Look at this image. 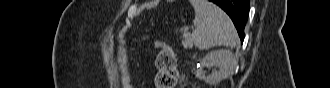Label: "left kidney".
<instances>
[{
  "label": "left kidney",
  "mask_w": 330,
  "mask_h": 88,
  "mask_svg": "<svg viewBox=\"0 0 330 88\" xmlns=\"http://www.w3.org/2000/svg\"><path fill=\"white\" fill-rule=\"evenodd\" d=\"M235 66L236 60L231 51L226 49L211 51L204 57L201 63V68L215 67L218 68V70L213 71L208 76L203 75L199 70L197 71V77L204 79L205 82L209 84L216 85L223 79L227 78L230 73H232Z\"/></svg>",
  "instance_id": "1"
}]
</instances>
